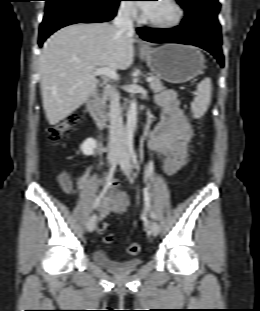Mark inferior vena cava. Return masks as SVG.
Masks as SVG:
<instances>
[{
    "mask_svg": "<svg viewBox=\"0 0 260 311\" xmlns=\"http://www.w3.org/2000/svg\"><path fill=\"white\" fill-rule=\"evenodd\" d=\"M114 26L123 32L134 33L133 21L130 18L129 9H121L113 21ZM109 126V149L115 150L121 147L124 138V127L120 107V95L117 91L111 93Z\"/></svg>",
    "mask_w": 260,
    "mask_h": 311,
    "instance_id": "inferior-vena-cava-1",
    "label": "inferior vena cava"
}]
</instances>
